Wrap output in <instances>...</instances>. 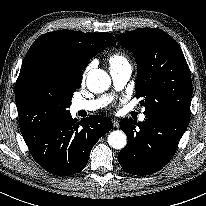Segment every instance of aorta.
<instances>
[{
    "label": "aorta",
    "mask_w": 206,
    "mask_h": 206,
    "mask_svg": "<svg viewBox=\"0 0 206 206\" xmlns=\"http://www.w3.org/2000/svg\"><path fill=\"white\" fill-rule=\"evenodd\" d=\"M111 84L110 76L102 69H93L87 76V88L93 93L106 91ZM127 137L121 130L112 131L108 136V144L114 149H123Z\"/></svg>",
    "instance_id": "1"
}]
</instances>
